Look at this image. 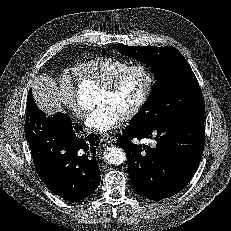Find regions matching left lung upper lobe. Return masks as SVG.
<instances>
[{
  "label": "left lung upper lobe",
  "mask_w": 231,
  "mask_h": 231,
  "mask_svg": "<svg viewBox=\"0 0 231 231\" xmlns=\"http://www.w3.org/2000/svg\"><path fill=\"white\" fill-rule=\"evenodd\" d=\"M122 54L148 63L157 79L151 97L129 127L166 126L204 115L199 83L174 47L115 45Z\"/></svg>",
  "instance_id": "left-lung-upper-lobe-1"
}]
</instances>
